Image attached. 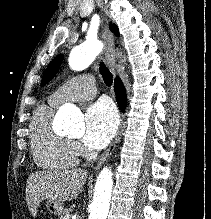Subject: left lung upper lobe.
Returning <instances> with one entry per match:
<instances>
[{"instance_id":"1","label":"left lung upper lobe","mask_w":211,"mask_h":219,"mask_svg":"<svg viewBox=\"0 0 211 219\" xmlns=\"http://www.w3.org/2000/svg\"><path fill=\"white\" fill-rule=\"evenodd\" d=\"M110 29L115 33L116 36H119L118 27L115 24H110ZM62 59L63 56L60 54L50 62L42 77L41 85H45L56 75L61 65Z\"/></svg>"}]
</instances>
